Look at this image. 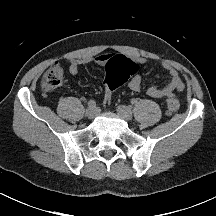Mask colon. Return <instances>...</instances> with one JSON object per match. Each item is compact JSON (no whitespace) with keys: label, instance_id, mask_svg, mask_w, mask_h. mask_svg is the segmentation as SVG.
<instances>
[{"label":"colon","instance_id":"5ec220e1","mask_svg":"<svg viewBox=\"0 0 216 216\" xmlns=\"http://www.w3.org/2000/svg\"><path fill=\"white\" fill-rule=\"evenodd\" d=\"M137 70L138 64L125 58H119L107 65L105 77V104H109L113 100L115 91L124 85L129 78L137 72ZM62 80L63 69L60 65L56 64L49 68L43 75L41 80V88L44 91L55 90L61 85ZM165 105L166 112L169 115L175 114L180 107L178 98L173 95L166 98Z\"/></svg>","mask_w":216,"mask_h":216}]
</instances>
